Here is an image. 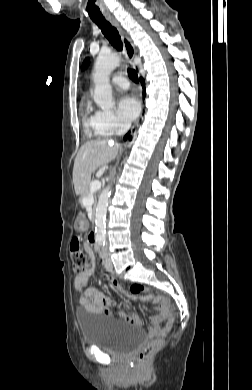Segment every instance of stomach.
<instances>
[{
	"label": "stomach",
	"mask_w": 252,
	"mask_h": 390,
	"mask_svg": "<svg viewBox=\"0 0 252 390\" xmlns=\"http://www.w3.org/2000/svg\"><path fill=\"white\" fill-rule=\"evenodd\" d=\"M75 228L79 231H82L84 230L85 228V220L83 217H79L78 220H77V224L75 226Z\"/></svg>",
	"instance_id": "obj_1"
}]
</instances>
